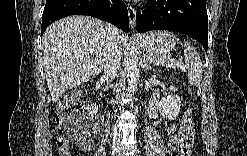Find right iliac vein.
I'll return each mask as SVG.
<instances>
[{
  "mask_svg": "<svg viewBox=\"0 0 247 156\" xmlns=\"http://www.w3.org/2000/svg\"><path fill=\"white\" fill-rule=\"evenodd\" d=\"M120 151V148L118 146H115L112 150V155L116 156L118 155V152Z\"/></svg>",
  "mask_w": 247,
  "mask_h": 156,
  "instance_id": "63e3f726",
  "label": "right iliac vein"
}]
</instances>
